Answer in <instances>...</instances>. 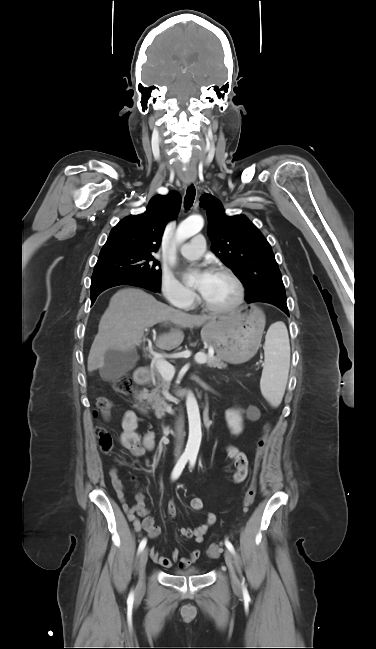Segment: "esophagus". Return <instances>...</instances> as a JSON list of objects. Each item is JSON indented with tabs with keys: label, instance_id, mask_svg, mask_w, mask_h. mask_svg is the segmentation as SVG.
<instances>
[{
	"label": "esophagus",
	"instance_id": "34e87169",
	"mask_svg": "<svg viewBox=\"0 0 376 649\" xmlns=\"http://www.w3.org/2000/svg\"><path fill=\"white\" fill-rule=\"evenodd\" d=\"M190 184H191L190 181L185 182V186H188V185H190Z\"/></svg>",
	"mask_w": 376,
	"mask_h": 649
}]
</instances>
